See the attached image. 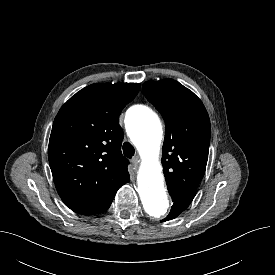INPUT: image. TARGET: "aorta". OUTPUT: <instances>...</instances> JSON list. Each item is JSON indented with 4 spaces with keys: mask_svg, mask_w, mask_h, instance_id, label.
<instances>
[{
    "mask_svg": "<svg viewBox=\"0 0 275 275\" xmlns=\"http://www.w3.org/2000/svg\"><path fill=\"white\" fill-rule=\"evenodd\" d=\"M126 117L128 134L143 160L138 174V193L147 216L160 220L170 206L159 161L162 123L154 111L143 105L130 108Z\"/></svg>",
    "mask_w": 275,
    "mask_h": 275,
    "instance_id": "aorta-1",
    "label": "aorta"
}]
</instances>
